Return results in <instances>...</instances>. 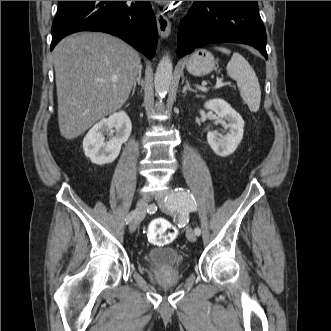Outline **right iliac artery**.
I'll return each instance as SVG.
<instances>
[{
    "label": "right iliac artery",
    "mask_w": 331,
    "mask_h": 331,
    "mask_svg": "<svg viewBox=\"0 0 331 331\" xmlns=\"http://www.w3.org/2000/svg\"><path fill=\"white\" fill-rule=\"evenodd\" d=\"M135 213H136V211H131V212L128 214V216H127V218H126V223H127V224L131 222V220H132L133 217L135 216Z\"/></svg>",
    "instance_id": "obj_1"
}]
</instances>
